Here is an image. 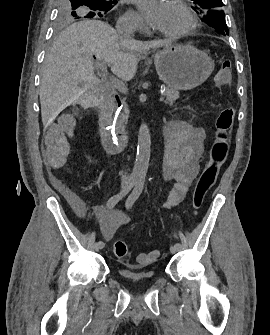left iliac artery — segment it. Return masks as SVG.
<instances>
[{"label":"left iliac artery","instance_id":"44dca946","mask_svg":"<svg viewBox=\"0 0 270 335\" xmlns=\"http://www.w3.org/2000/svg\"><path fill=\"white\" fill-rule=\"evenodd\" d=\"M143 186H144V181L142 179L138 180L136 182V186L134 188V190L132 191V193L128 196L127 200H126V208L130 209L132 208L133 204L135 203V201L138 199V197L140 196L142 190H143ZM178 250L182 248V245L180 243H175L174 245Z\"/></svg>","mask_w":270,"mask_h":335}]
</instances>
